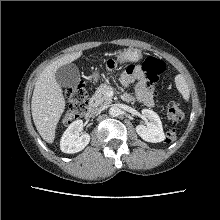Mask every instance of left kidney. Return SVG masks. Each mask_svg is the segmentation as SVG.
<instances>
[{"mask_svg":"<svg viewBox=\"0 0 220 220\" xmlns=\"http://www.w3.org/2000/svg\"><path fill=\"white\" fill-rule=\"evenodd\" d=\"M142 114L150 122L148 123L147 126L137 125L136 126L137 134L147 142L158 143L164 141L165 134L158 114L149 109H143Z\"/></svg>","mask_w":220,"mask_h":220,"instance_id":"obj_1","label":"left kidney"}]
</instances>
